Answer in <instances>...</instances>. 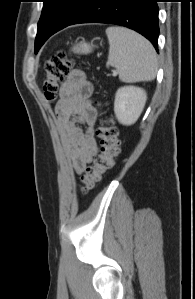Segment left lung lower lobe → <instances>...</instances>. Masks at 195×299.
I'll list each match as a JSON object with an SVG mask.
<instances>
[{
  "instance_id": "1",
  "label": "left lung lower lobe",
  "mask_w": 195,
  "mask_h": 299,
  "mask_svg": "<svg viewBox=\"0 0 195 299\" xmlns=\"http://www.w3.org/2000/svg\"><path fill=\"white\" fill-rule=\"evenodd\" d=\"M159 0H89L71 24L107 23L133 29L146 37L158 51Z\"/></svg>"
}]
</instances>
